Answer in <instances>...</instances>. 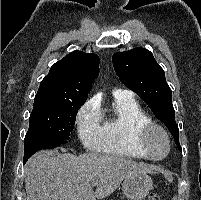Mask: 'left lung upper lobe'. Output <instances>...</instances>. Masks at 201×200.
I'll list each match as a JSON object with an SVG mask.
<instances>
[{"label":"left lung upper lobe","mask_w":201,"mask_h":200,"mask_svg":"<svg viewBox=\"0 0 201 200\" xmlns=\"http://www.w3.org/2000/svg\"><path fill=\"white\" fill-rule=\"evenodd\" d=\"M113 66L120 81L138 94L161 120L174 137L180 151L179 129L172 105V91L165 78V72L156 62L153 54L141 47L126 52H117L112 57Z\"/></svg>","instance_id":"obj_1"}]
</instances>
